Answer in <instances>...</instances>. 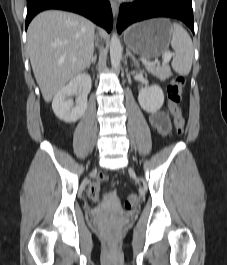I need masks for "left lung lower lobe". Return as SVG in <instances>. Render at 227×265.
I'll list each match as a JSON object with an SVG mask.
<instances>
[{"mask_svg":"<svg viewBox=\"0 0 227 265\" xmlns=\"http://www.w3.org/2000/svg\"><path fill=\"white\" fill-rule=\"evenodd\" d=\"M154 17H170L183 21L194 33L191 0H137L122 4L117 30L121 33L130 24Z\"/></svg>","mask_w":227,"mask_h":265,"instance_id":"left-lung-lower-lobe-1","label":"left lung lower lobe"}]
</instances>
